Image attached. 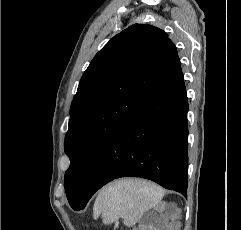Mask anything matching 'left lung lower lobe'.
Returning a JSON list of instances; mask_svg holds the SVG:
<instances>
[{"label": "left lung lower lobe", "mask_w": 241, "mask_h": 230, "mask_svg": "<svg viewBox=\"0 0 241 230\" xmlns=\"http://www.w3.org/2000/svg\"><path fill=\"white\" fill-rule=\"evenodd\" d=\"M188 101L181 66L102 147L74 210L120 177H141L186 195Z\"/></svg>", "instance_id": "left-lung-lower-lobe-1"}]
</instances>
